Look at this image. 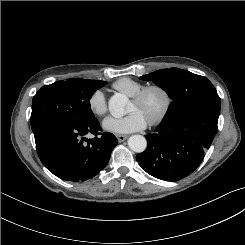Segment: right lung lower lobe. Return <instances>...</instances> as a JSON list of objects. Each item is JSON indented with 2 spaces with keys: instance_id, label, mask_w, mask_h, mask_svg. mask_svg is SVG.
Segmentation results:
<instances>
[{
  "instance_id": "obj_1",
  "label": "right lung lower lobe",
  "mask_w": 245,
  "mask_h": 245,
  "mask_svg": "<svg viewBox=\"0 0 245 245\" xmlns=\"http://www.w3.org/2000/svg\"><path fill=\"white\" fill-rule=\"evenodd\" d=\"M100 131L97 119L79 124L48 120L33 133L44 166L63 180L77 182L90 179L104 169L118 144L112 133L101 134ZM88 133L95 137L86 139L84 136Z\"/></svg>"
}]
</instances>
